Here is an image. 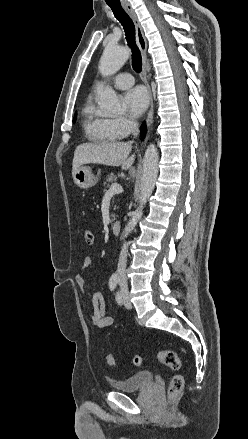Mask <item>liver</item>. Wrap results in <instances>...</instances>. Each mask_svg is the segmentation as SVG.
I'll return each instance as SVG.
<instances>
[{
	"instance_id": "liver-1",
	"label": "liver",
	"mask_w": 248,
	"mask_h": 439,
	"mask_svg": "<svg viewBox=\"0 0 248 439\" xmlns=\"http://www.w3.org/2000/svg\"><path fill=\"white\" fill-rule=\"evenodd\" d=\"M132 149L131 142L83 143L74 152L72 175L84 164H103L121 166L129 169L135 160V155L128 158Z\"/></svg>"
}]
</instances>
